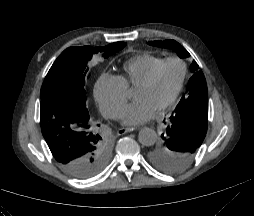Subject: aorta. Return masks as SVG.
Segmentation results:
<instances>
[{"label": "aorta", "instance_id": "762f6f07", "mask_svg": "<svg viewBox=\"0 0 254 216\" xmlns=\"http://www.w3.org/2000/svg\"><path fill=\"white\" fill-rule=\"evenodd\" d=\"M139 142L144 146H152L157 140L156 132L151 128H142L138 134Z\"/></svg>", "mask_w": 254, "mask_h": 216}]
</instances>
